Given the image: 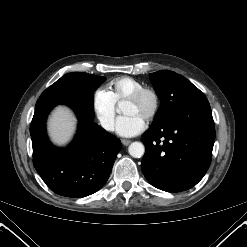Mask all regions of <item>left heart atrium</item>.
<instances>
[{"label": "left heart atrium", "mask_w": 247, "mask_h": 247, "mask_svg": "<svg viewBox=\"0 0 247 247\" xmlns=\"http://www.w3.org/2000/svg\"><path fill=\"white\" fill-rule=\"evenodd\" d=\"M145 128V119L138 114H126L118 118L116 132L122 137H133Z\"/></svg>", "instance_id": "obj_1"}]
</instances>
